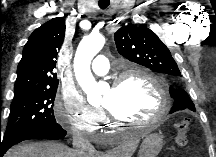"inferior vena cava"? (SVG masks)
Masks as SVG:
<instances>
[{
  "mask_svg": "<svg viewBox=\"0 0 216 157\" xmlns=\"http://www.w3.org/2000/svg\"><path fill=\"white\" fill-rule=\"evenodd\" d=\"M73 147L77 157H90L94 151L92 144L80 133H73Z\"/></svg>",
  "mask_w": 216,
  "mask_h": 157,
  "instance_id": "obj_1",
  "label": "inferior vena cava"
}]
</instances>
